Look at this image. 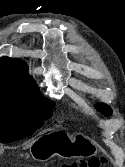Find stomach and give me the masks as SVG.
Here are the masks:
<instances>
[{
  "label": "stomach",
  "mask_w": 125,
  "mask_h": 167,
  "mask_svg": "<svg viewBox=\"0 0 125 167\" xmlns=\"http://www.w3.org/2000/svg\"><path fill=\"white\" fill-rule=\"evenodd\" d=\"M56 132L50 133L32 144L30 152L35 160H49L55 155L73 158L89 153L86 147L92 144L85 136L71 135L65 131Z\"/></svg>",
  "instance_id": "stomach-1"
}]
</instances>
